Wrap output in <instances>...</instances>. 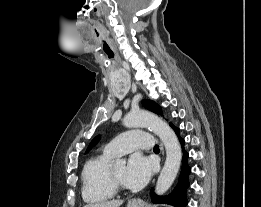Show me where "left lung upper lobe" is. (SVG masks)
<instances>
[{
  "label": "left lung upper lobe",
  "mask_w": 261,
  "mask_h": 207,
  "mask_svg": "<svg viewBox=\"0 0 261 207\" xmlns=\"http://www.w3.org/2000/svg\"><path fill=\"white\" fill-rule=\"evenodd\" d=\"M143 106L145 107V108H147L148 110H150V111H152V112H154V113H156V114H162V110H161V107L158 105V104H156L155 102H153V101H150V100H143ZM170 125H172V123H170ZM99 136H97V137H95L93 140H92V142L90 143V145H89V147H88V149H87V151L86 152H88L89 151V149L92 147V146H94L98 141H99Z\"/></svg>",
  "instance_id": "1"
}]
</instances>
